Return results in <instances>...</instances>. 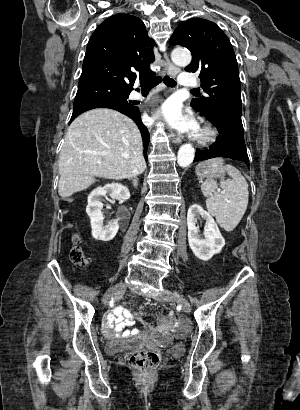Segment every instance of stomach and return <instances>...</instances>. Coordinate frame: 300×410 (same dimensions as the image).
<instances>
[{"instance_id":"stomach-1","label":"stomach","mask_w":300,"mask_h":410,"mask_svg":"<svg viewBox=\"0 0 300 410\" xmlns=\"http://www.w3.org/2000/svg\"><path fill=\"white\" fill-rule=\"evenodd\" d=\"M196 174L201 178H223L225 175V169L222 159H211L200 163L196 167Z\"/></svg>"}]
</instances>
